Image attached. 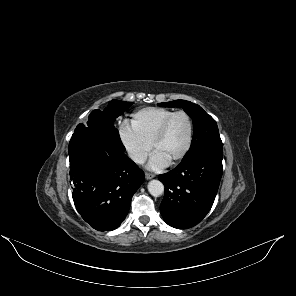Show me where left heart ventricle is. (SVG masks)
I'll use <instances>...</instances> for the list:
<instances>
[{
    "instance_id": "obj_1",
    "label": "left heart ventricle",
    "mask_w": 296,
    "mask_h": 296,
    "mask_svg": "<svg viewBox=\"0 0 296 296\" xmlns=\"http://www.w3.org/2000/svg\"><path fill=\"white\" fill-rule=\"evenodd\" d=\"M189 134V124L185 116L177 115L170 122L162 140L156 145L158 153L168 163L174 160L184 149Z\"/></svg>"
}]
</instances>
